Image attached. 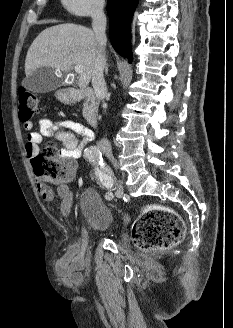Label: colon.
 <instances>
[{"label": "colon", "mask_w": 233, "mask_h": 328, "mask_svg": "<svg viewBox=\"0 0 233 328\" xmlns=\"http://www.w3.org/2000/svg\"><path fill=\"white\" fill-rule=\"evenodd\" d=\"M19 118L29 122L38 111V97L24 88L18 93ZM35 174L41 178L61 181L68 176V168H62L57 160L54 144H47L43 151L32 160ZM184 222L177 212L164 206L143 209L136 219L132 238L142 251L159 252L168 250L181 242L184 236Z\"/></svg>", "instance_id": "5ec220e1"}]
</instances>
